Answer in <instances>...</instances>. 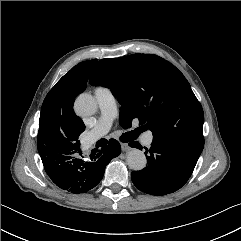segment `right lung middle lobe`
I'll list each match as a JSON object with an SVG mask.
<instances>
[{
  "label": "right lung middle lobe",
  "instance_id": "1",
  "mask_svg": "<svg viewBox=\"0 0 241 241\" xmlns=\"http://www.w3.org/2000/svg\"><path fill=\"white\" fill-rule=\"evenodd\" d=\"M79 146H80L79 143H78V142H75V143H73V144H69V145H67V146L60 147V148H58L57 150H53V148H51V147H50V149L53 150V151H55V152H58V151L62 150V149L65 148V147L74 149V148H78Z\"/></svg>",
  "mask_w": 241,
  "mask_h": 241
}]
</instances>
